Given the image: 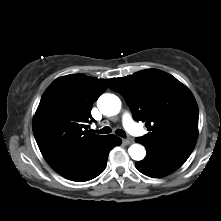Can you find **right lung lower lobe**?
Returning a JSON list of instances; mask_svg holds the SVG:
<instances>
[{
  "label": "right lung lower lobe",
  "instance_id": "right-lung-lower-lobe-1",
  "mask_svg": "<svg viewBox=\"0 0 221 221\" xmlns=\"http://www.w3.org/2000/svg\"><path fill=\"white\" fill-rule=\"evenodd\" d=\"M122 140L108 135L82 154L55 163L51 167L63 177L77 182L91 180L101 174L107 164L110 150L120 145Z\"/></svg>",
  "mask_w": 221,
  "mask_h": 221
}]
</instances>
